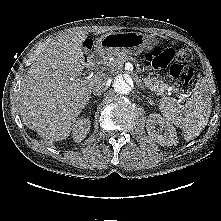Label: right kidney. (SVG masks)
<instances>
[{"label":"right kidney","mask_w":221,"mask_h":221,"mask_svg":"<svg viewBox=\"0 0 221 221\" xmlns=\"http://www.w3.org/2000/svg\"><path fill=\"white\" fill-rule=\"evenodd\" d=\"M90 120L88 118H80L72 127V136L75 142H81L85 139L90 130Z\"/></svg>","instance_id":"obj_1"}]
</instances>
